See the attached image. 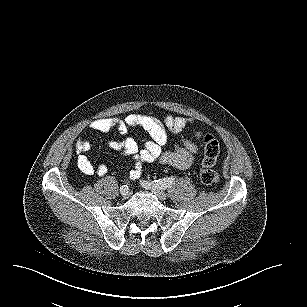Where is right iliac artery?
<instances>
[{"instance_id":"1","label":"right iliac artery","mask_w":307,"mask_h":307,"mask_svg":"<svg viewBox=\"0 0 307 307\" xmlns=\"http://www.w3.org/2000/svg\"><path fill=\"white\" fill-rule=\"evenodd\" d=\"M121 187H122V188H125V187H127V188H128V186H127V185H124V186H121ZM121 187H120V188H121Z\"/></svg>"}]
</instances>
